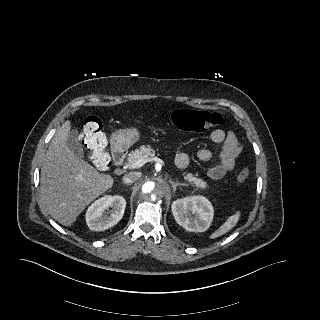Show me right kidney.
Segmentation results:
<instances>
[{"label":"right kidney","instance_id":"right-kidney-1","mask_svg":"<svg viewBox=\"0 0 320 320\" xmlns=\"http://www.w3.org/2000/svg\"><path fill=\"white\" fill-rule=\"evenodd\" d=\"M125 207L126 200L122 196L106 195L99 198L91 204L86 213L89 229L102 231L116 225L122 219Z\"/></svg>","mask_w":320,"mask_h":320}]
</instances>
